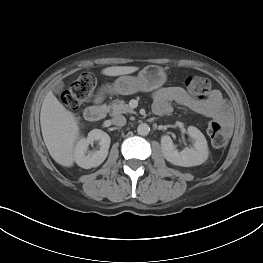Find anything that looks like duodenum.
I'll return each instance as SVG.
<instances>
[{
    "label": "duodenum",
    "instance_id": "obj_1",
    "mask_svg": "<svg viewBox=\"0 0 263 263\" xmlns=\"http://www.w3.org/2000/svg\"><path fill=\"white\" fill-rule=\"evenodd\" d=\"M103 93H99L96 97L95 104L88 107L84 111V117L89 122H97L102 120L106 115V108L102 104Z\"/></svg>",
    "mask_w": 263,
    "mask_h": 263
}]
</instances>
